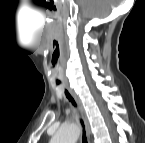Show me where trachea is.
<instances>
[{
    "label": "trachea",
    "mask_w": 145,
    "mask_h": 143,
    "mask_svg": "<svg viewBox=\"0 0 145 143\" xmlns=\"http://www.w3.org/2000/svg\"><path fill=\"white\" fill-rule=\"evenodd\" d=\"M57 84H59V83H57ZM65 95H66V97L68 98V100L74 105V106H76V103H75V101H74V99L71 97V95L67 92V91H65ZM81 123H82V126H83V122L81 121ZM83 143H88L87 142V139H86V137H85V132H84V135H83Z\"/></svg>",
    "instance_id": "obj_1"
}]
</instances>
